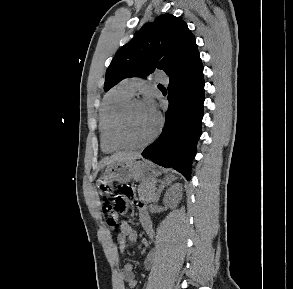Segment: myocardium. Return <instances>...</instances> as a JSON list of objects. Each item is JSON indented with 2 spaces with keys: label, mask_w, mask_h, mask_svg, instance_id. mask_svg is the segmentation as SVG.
Segmentation results:
<instances>
[{
  "label": "myocardium",
  "mask_w": 293,
  "mask_h": 289,
  "mask_svg": "<svg viewBox=\"0 0 293 289\" xmlns=\"http://www.w3.org/2000/svg\"><path fill=\"white\" fill-rule=\"evenodd\" d=\"M137 104H144V102L139 98L129 99L121 107V109L118 111V113L114 119L113 126H112V132H111V140L119 149H123V150L143 149L155 141V139L158 137V135L162 129V124H163L162 119L159 115H156L157 125H156V128H155L153 134L150 136L149 139H147L145 142L139 143V144H131V143L127 142L124 139L123 134H122L123 123H124V120L129 112V110L134 105H137Z\"/></svg>",
  "instance_id": "obj_1"
}]
</instances>
